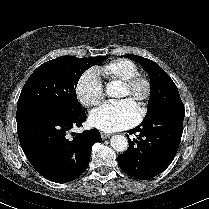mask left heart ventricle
<instances>
[{
  "label": "left heart ventricle",
  "mask_w": 209,
  "mask_h": 209,
  "mask_svg": "<svg viewBox=\"0 0 209 209\" xmlns=\"http://www.w3.org/2000/svg\"><path fill=\"white\" fill-rule=\"evenodd\" d=\"M144 93H145V88L143 84L137 85L136 88L132 92H128L120 88L116 102L120 103V102L127 101L138 112L143 101Z\"/></svg>",
  "instance_id": "1"
}]
</instances>
